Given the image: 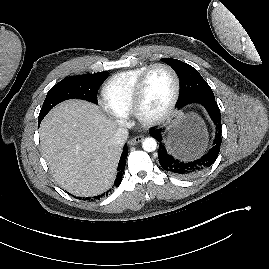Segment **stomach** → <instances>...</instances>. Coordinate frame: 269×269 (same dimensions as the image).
I'll return each mask as SVG.
<instances>
[{
    "mask_svg": "<svg viewBox=\"0 0 269 269\" xmlns=\"http://www.w3.org/2000/svg\"><path fill=\"white\" fill-rule=\"evenodd\" d=\"M206 136L199 116L194 113L180 114L169 128L168 143L182 156L191 158L201 152Z\"/></svg>",
    "mask_w": 269,
    "mask_h": 269,
    "instance_id": "stomach-1",
    "label": "stomach"
}]
</instances>
